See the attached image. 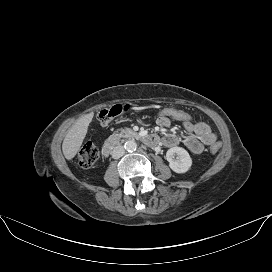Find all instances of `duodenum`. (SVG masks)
Returning a JSON list of instances; mask_svg holds the SVG:
<instances>
[{"mask_svg": "<svg viewBox=\"0 0 272 272\" xmlns=\"http://www.w3.org/2000/svg\"><path fill=\"white\" fill-rule=\"evenodd\" d=\"M129 136L137 140H142L151 146H157L159 144V138L155 134L132 133ZM120 140L121 137L119 135H114L108 138L103 146L104 156H109L119 144Z\"/></svg>", "mask_w": 272, "mask_h": 272, "instance_id": "duodenum-1", "label": "duodenum"}]
</instances>
